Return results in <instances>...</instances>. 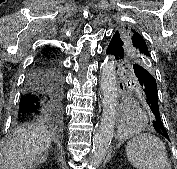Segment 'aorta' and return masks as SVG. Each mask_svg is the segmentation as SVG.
I'll return each mask as SVG.
<instances>
[{
    "label": "aorta",
    "mask_w": 177,
    "mask_h": 169,
    "mask_svg": "<svg viewBox=\"0 0 177 169\" xmlns=\"http://www.w3.org/2000/svg\"><path fill=\"white\" fill-rule=\"evenodd\" d=\"M103 113L93 138L90 169H96L104 160L114 135L117 115V88L114 61L106 58L101 65Z\"/></svg>",
    "instance_id": "1"
}]
</instances>
